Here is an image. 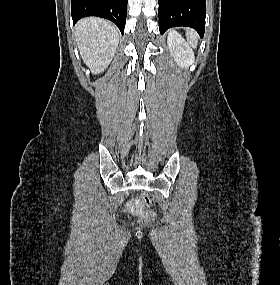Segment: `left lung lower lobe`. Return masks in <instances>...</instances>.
<instances>
[{"label": "left lung lower lobe", "mask_w": 280, "mask_h": 285, "mask_svg": "<svg viewBox=\"0 0 280 285\" xmlns=\"http://www.w3.org/2000/svg\"><path fill=\"white\" fill-rule=\"evenodd\" d=\"M158 2L161 34L171 27L189 26L203 37L206 0H158Z\"/></svg>", "instance_id": "left-lung-lower-lobe-1"}]
</instances>
